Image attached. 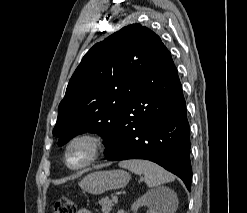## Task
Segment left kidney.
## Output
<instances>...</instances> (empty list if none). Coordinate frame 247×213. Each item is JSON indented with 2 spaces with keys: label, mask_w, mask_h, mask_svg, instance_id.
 Instances as JSON below:
<instances>
[{
  "label": "left kidney",
  "mask_w": 247,
  "mask_h": 213,
  "mask_svg": "<svg viewBox=\"0 0 247 213\" xmlns=\"http://www.w3.org/2000/svg\"><path fill=\"white\" fill-rule=\"evenodd\" d=\"M164 192L162 190L149 191L131 206V209L136 213L141 206H147L151 213H162L161 205L164 202Z\"/></svg>",
  "instance_id": "1"
}]
</instances>
